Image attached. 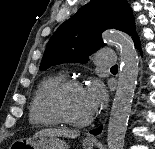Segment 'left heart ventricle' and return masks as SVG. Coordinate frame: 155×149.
Listing matches in <instances>:
<instances>
[{
	"instance_id": "1",
	"label": "left heart ventricle",
	"mask_w": 155,
	"mask_h": 149,
	"mask_svg": "<svg viewBox=\"0 0 155 149\" xmlns=\"http://www.w3.org/2000/svg\"><path fill=\"white\" fill-rule=\"evenodd\" d=\"M64 107L68 115L75 120H84L92 114L89 111L83 88H72L64 96Z\"/></svg>"
}]
</instances>
